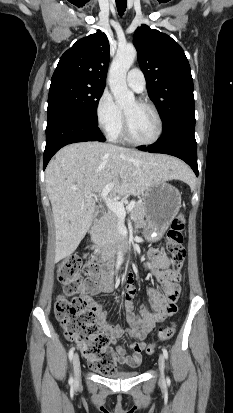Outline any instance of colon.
<instances>
[{"mask_svg":"<svg viewBox=\"0 0 233 413\" xmlns=\"http://www.w3.org/2000/svg\"><path fill=\"white\" fill-rule=\"evenodd\" d=\"M184 229L185 218L179 214L172 220L167 232L166 249L172 258L170 273L173 277L179 275L185 259ZM107 273L97 260L86 257L83 259L78 255L67 257L57 267L58 280L63 284L64 291L69 296L92 292L99 279ZM169 308L177 310V306H169ZM55 315L64 335L82 347L83 354L95 370L103 374L115 371L116 355L109 345V338L99 333L95 323V314L88 306L84 295L59 296L55 302ZM175 332L176 325L172 323L160 329L157 338L159 341H166L172 338ZM155 348L156 343L151 342L146 346V352L152 354Z\"/></svg>","mask_w":233,"mask_h":413,"instance_id":"5ec220e1","label":"colon"}]
</instances>
